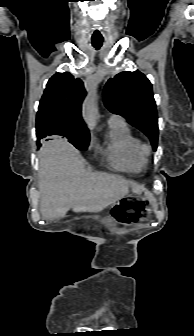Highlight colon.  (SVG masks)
<instances>
[{"label": "colon", "instance_id": "colon-1", "mask_svg": "<svg viewBox=\"0 0 194 336\" xmlns=\"http://www.w3.org/2000/svg\"><path fill=\"white\" fill-rule=\"evenodd\" d=\"M146 206L145 201L140 199H127L114 210V217L121 222L134 220L137 213Z\"/></svg>", "mask_w": 194, "mask_h": 336}]
</instances>
